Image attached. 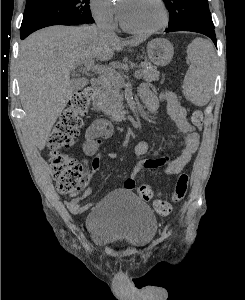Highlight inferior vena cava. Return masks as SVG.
I'll return each mask as SVG.
<instances>
[{"label":"inferior vena cava","instance_id":"1","mask_svg":"<svg viewBox=\"0 0 245 300\" xmlns=\"http://www.w3.org/2000/svg\"><path fill=\"white\" fill-rule=\"evenodd\" d=\"M97 27H98V29H99L101 32H107V31H108V28H107L106 24L103 23V22H98V23H97Z\"/></svg>","mask_w":245,"mask_h":300}]
</instances>
